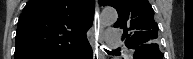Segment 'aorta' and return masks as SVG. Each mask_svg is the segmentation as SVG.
<instances>
[{
	"label": "aorta",
	"mask_w": 193,
	"mask_h": 59,
	"mask_svg": "<svg viewBox=\"0 0 193 59\" xmlns=\"http://www.w3.org/2000/svg\"><path fill=\"white\" fill-rule=\"evenodd\" d=\"M100 18L104 26H110L117 21L118 14L114 8H106L102 11Z\"/></svg>",
	"instance_id": "aorta-1"
}]
</instances>
